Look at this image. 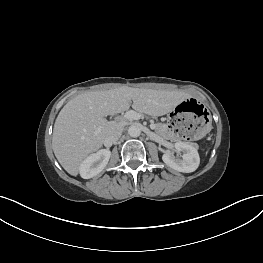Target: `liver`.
<instances>
[{"label":"liver","mask_w":263,"mask_h":263,"mask_svg":"<svg viewBox=\"0 0 263 263\" xmlns=\"http://www.w3.org/2000/svg\"><path fill=\"white\" fill-rule=\"evenodd\" d=\"M189 97L183 91L119 87L88 91L71 99L59 112L53 129L52 148L61 166L73 176L91 153L100 149L110 131L123 123L105 116L132 108L140 113L161 116ZM100 128V132L95 134Z\"/></svg>","instance_id":"liver-1"}]
</instances>
